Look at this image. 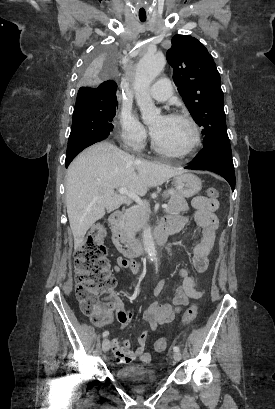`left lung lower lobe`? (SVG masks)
<instances>
[{"label":"left lung lower lobe","mask_w":275,"mask_h":409,"mask_svg":"<svg viewBox=\"0 0 275 409\" xmlns=\"http://www.w3.org/2000/svg\"><path fill=\"white\" fill-rule=\"evenodd\" d=\"M185 168L215 172L224 177L234 191L235 172L230 141L219 142L208 148H203L190 165Z\"/></svg>","instance_id":"left-lung-lower-lobe-1"}]
</instances>
